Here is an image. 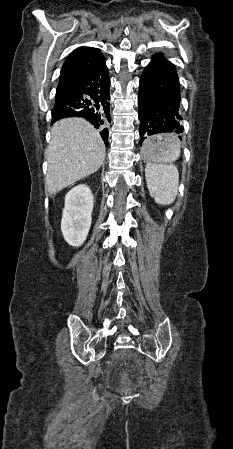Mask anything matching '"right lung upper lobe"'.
Here are the masks:
<instances>
[{
    "label": "right lung upper lobe",
    "instance_id": "1",
    "mask_svg": "<svg viewBox=\"0 0 233 449\" xmlns=\"http://www.w3.org/2000/svg\"><path fill=\"white\" fill-rule=\"evenodd\" d=\"M104 61L101 51L93 47H79L72 51L61 69L58 88L74 82Z\"/></svg>",
    "mask_w": 233,
    "mask_h": 449
}]
</instances>
